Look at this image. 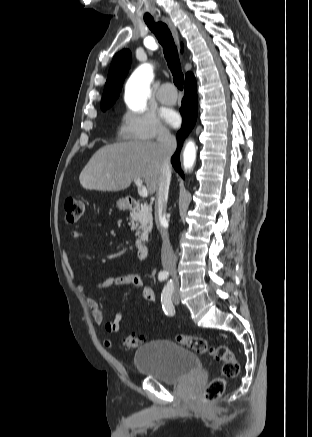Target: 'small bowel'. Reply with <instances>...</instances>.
I'll list each match as a JSON object with an SVG mask.
<instances>
[{
	"instance_id": "small-bowel-1",
	"label": "small bowel",
	"mask_w": 312,
	"mask_h": 437,
	"mask_svg": "<svg viewBox=\"0 0 312 437\" xmlns=\"http://www.w3.org/2000/svg\"><path fill=\"white\" fill-rule=\"evenodd\" d=\"M82 235L83 234L80 231H73L70 234L71 240L66 242L65 248L73 246L74 240L81 237ZM118 286H131L133 288L141 289L142 295L147 302L152 303L155 301V294L153 289L150 286L145 285L144 280L140 274H128L119 277H110L98 283L95 286V289H106ZM77 289L84 296L86 304L89 307L95 323L98 325H103L105 331L108 334H115L119 332L122 322L121 313H116L108 321H105L104 314L100 309L97 301L93 297L88 295L89 288L85 285H78ZM103 344L106 347H112L113 345V343L109 339H104Z\"/></svg>"
}]
</instances>
